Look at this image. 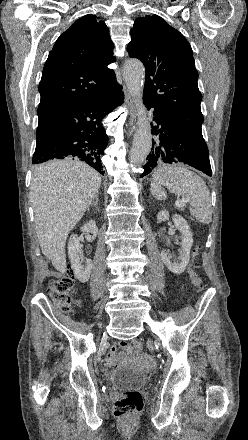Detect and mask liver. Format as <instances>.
Returning <instances> with one entry per match:
<instances>
[{"mask_svg": "<svg viewBox=\"0 0 248 440\" xmlns=\"http://www.w3.org/2000/svg\"><path fill=\"white\" fill-rule=\"evenodd\" d=\"M101 185L100 174L71 157L34 168L30 199L42 253L61 274L66 271L65 244Z\"/></svg>", "mask_w": 248, "mask_h": 440, "instance_id": "liver-1", "label": "liver"}]
</instances>
